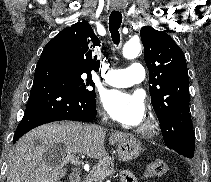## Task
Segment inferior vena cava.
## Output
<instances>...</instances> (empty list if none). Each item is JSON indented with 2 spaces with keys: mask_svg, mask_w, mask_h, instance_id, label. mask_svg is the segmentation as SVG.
<instances>
[{
  "mask_svg": "<svg viewBox=\"0 0 211 182\" xmlns=\"http://www.w3.org/2000/svg\"><path fill=\"white\" fill-rule=\"evenodd\" d=\"M102 131H104V126H97V134H102Z\"/></svg>",
  "mask_w": 211,
  "mask_h": 182,
  "instance_id": "obj_1",
  "label": "inferior vena cava"
}]
</instances>
